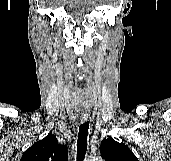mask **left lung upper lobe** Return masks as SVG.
<instances>
[{
  "label": "left lung upper lobe",
  "instance_id": "5c2ea615",
  "mask_svg": "<svg viewBox=\"0 0 171 161\" xmlns=\"http://www.w3.org/2000/svg\"><path fill=\"white\" fill-rule=\"evenodd\" d=\"M101 156L105 161H138L133 152L112 137L105 138L100 146Z\"/></svg>",
  "mask_w": 171,
  "mask_h": 161
}]
</instances>
